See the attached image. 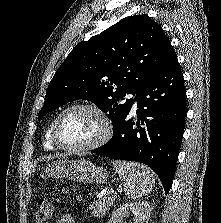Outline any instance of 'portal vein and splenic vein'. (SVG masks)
Returning <instances> with one entry per match:
<instances>
[{
  "label": "portal vein and splenic vein",
  "mask_w": 221,
  "mask_h": 223,
  "mask_svg": "<svg viewBox=\"0 0 221 223\" xmlns=\"http://www.w3.org/2000/svg\"><path fill=\"white\" fill-rule=\"evenodd\" d=\"M112 192H114V190H113L112 188H110V189H105V190L103 191L104 194H106V193H112Z\"/></svg>",
  "instance_id": "18ae733b"
}]
</instances>
